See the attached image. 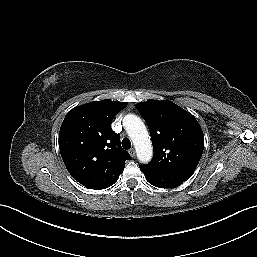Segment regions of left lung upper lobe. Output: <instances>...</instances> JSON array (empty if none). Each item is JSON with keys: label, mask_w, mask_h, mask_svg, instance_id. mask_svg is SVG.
Instances as JSON below:
<instances>
[{"label": "left lung upper lobe", "mask_w": 257, "mask_h": 257, "mask_svg": "<svg viewBox=\"0 0 257 257\" xmlns=\"http://www.w3.org/2000/svg\"><path fill=\"white\" fill-rule=\"evenodd\" d=\"M149 127L154 156L140 169L148 177L167 175L187 180L204 148L203 131L196 118L170 101L149 100L136 105Z\"/></svg>", "instance_id": "obj_1"}]
</instances>
